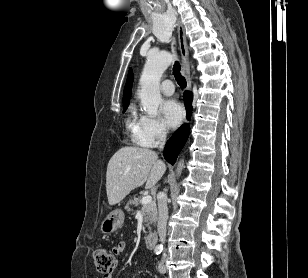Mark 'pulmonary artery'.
Here are the masks:
<instances>
[{
  "instance_id": "1",
  "label": "pulmonary artery",
  "mask_w": 308,
  "mask_h": 278,
  "mask_svg": "<svg viewBox=\"0 0 308 278\" xmlns=\"http://www.w3.org/2000/svg\"><path fill=\"white\" fill-rule=\"evenodd\" d=\"M160 90L165 95H168V96L172 95L174 93V85L172 81L170 80L163 81L160 86Z\"/></svg>"
}]
</instances>
